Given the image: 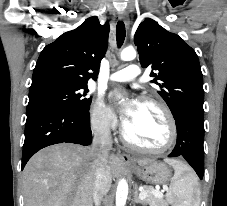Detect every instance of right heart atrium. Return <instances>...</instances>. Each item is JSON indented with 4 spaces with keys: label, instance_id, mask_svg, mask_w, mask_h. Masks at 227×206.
<instances>
[{
    "label": "right heart atrium",
    "instance_id": "obj_1",
    "mask_svg": "<svg viewBox=\"0 0 227 206\" xmlns=\"http://www.w3.org/2000/svg\"><path fill=\"white\" fill-rule=\"evenodd\" d=\"M90 121L93 128L100 133L111 132L117 123L113 111L101 99L92 105Z\"/></svg>",
    "mask_w": 227,
    "mask_h": 206
}]
</instances>
